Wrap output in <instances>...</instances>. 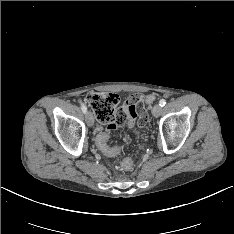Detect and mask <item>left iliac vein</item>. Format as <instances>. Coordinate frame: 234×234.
Wrapping results in <instances>:
<instances>
[{"label":"left iliac vein","mask_w":234,"mask_h":234,"mask_svg":"<svg viewBox=\"0 0 234 234\" xmlns=\"http://www.w3.org/2000/svg\"><path fill=\"white\" fill-rule=\"evenodd\" d=\"M161 112H162L161 106L159 104H155L153 109H152V113H153L154 117H159Z\"/></svg>","instance_id":"left-iliac-vein-1"}]
</instances>
